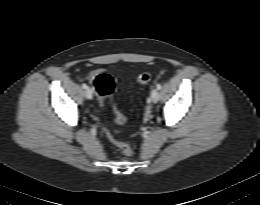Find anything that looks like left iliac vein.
<instances>
[{
  "label": "left iliac vein",
  "mask_w": 260,
  "mask_h": 205,
  "mask_svg": "<svg viewBox=\"0 0 260 205\" xmlns=\"http://www.w3.org/2000/svg\"><path fill=\"white\" fill-rule=\"evenodd\" d=\"M160 98V93L158 91V89H153L151 91V95H150V99L153 103H157L159 101Z\"/></svg>",
  "instance_id": "obj_1"
}]
</instances>
